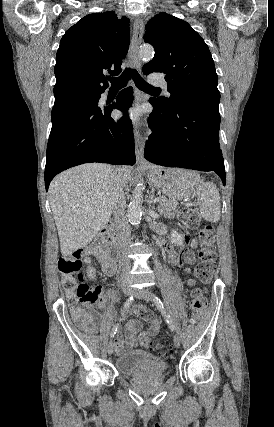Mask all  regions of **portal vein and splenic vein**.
Segmentation results:
<instances>
[{
	"instance_id": "18ae733b",
	"label": "portal vein and splenic vein",
	"mask_w": 274,
	"mask_h": 427,
	"mask_svg": "<svg viewBox=\"0 0 274 427\" xmlns=\"http://www.w3.org/2000/svg\"><path fill=\"white\" fill-rule=\"evenodd\" d=\"M155 202H159V198H156Z\"/></svg>"
}]
</instances>
